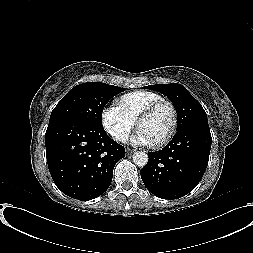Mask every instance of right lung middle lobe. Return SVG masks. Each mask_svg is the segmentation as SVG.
Instances as JSON below:
<instances>
[{"instance_id": "1", "label": "right lung middle lobe", "mask_w": 253, "mask_h": 253, "mask_svg": "<svg viewBox=\"0 0 253 253\" xmlns=\"http://www.w3.org/2000/svg\"><path fill=\"white\" fill-rule=\"evenodd\" d=\"M124 89L106 83H82L72 88L53 109L49 123L79 119L102 126V112L107 102Z\"/></svg>"}]
</instances>
